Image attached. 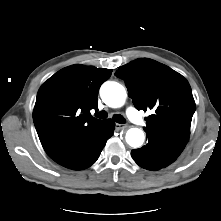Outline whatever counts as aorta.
Here are the masks:
<instances>
[{"label": "aorta", "instance_id": "1", "mask_svg": "<svg viewBox=\"0 0 221 221\" xmlns=\"http://www.w3.org/2000/svg\"><path fill=\"white\" fill-rule=\"evenodd\" d=\"M100 95L102 100L113 108L123 106L127 97L125 88L112 81H107L101 86ZM144 139V132L139 128H131L126 133V142L133 148L142 146Z\"/></svg>", "mask_w": 221, "mask_h": 221}]
</instances>
